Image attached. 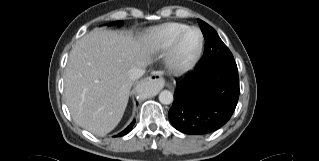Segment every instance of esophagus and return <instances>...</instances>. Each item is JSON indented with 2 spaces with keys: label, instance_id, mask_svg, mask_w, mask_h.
I'll return each mask as SVG.
<instances>
[{
  "label": "esophagus",
  "instance_id": "1",
  "mask_svg": "<svg viewBox=\"0 0 319 161\" xmlns=\"http://www.w3.org/2000/svg\"><path fill=\"white\" fill-rule=\"evenodd\" d=\"M145 80L152 83L153 87L157 90H161L165 85V79L163 78L161 71L152 72Z\"/></svg>",
  "mask_w": 319,
  "mask_h": 161
}]
</instances>
